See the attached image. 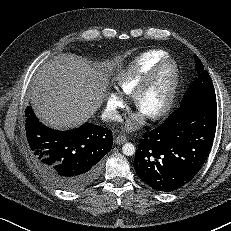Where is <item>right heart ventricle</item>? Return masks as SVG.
Here are the masks:
<instances>
[{
    "mask_svg": "<svg viewBox=\"0 0 231 231\" xmlns=\"http://www.w3.org/2000/svg\"><path fill=\"white\" fill-rule=\"evenodd\" d=\"M168 53L163 50H148L141 53L116 77V85L126 94H133L153 66Z\"/></svg>",
    "mask_w": 231,
    "mask_h": 231,
    "instance_id": "e07e8e85",
    "label": "right heart ventricle"
}]
</instances>
